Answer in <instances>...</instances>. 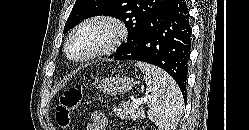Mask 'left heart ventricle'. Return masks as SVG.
<instances>
[{
	"mask_svg": "<svg viewBox=\"0 0 249 130\" xmlns=\"http://www.w3.org/2000/svg\"><path fill=\"white\" fill-rule=\"evenodd\" d=\"M113 36V31L106 25H93L79 32L69 45L73 57H82L101 48Z\"/></svg>",
	"mask_w": 249,
	"mask_h": 130,
	"instance_id": "obj_1",
	"label": "left heart ventricle"
}]
</instances>
